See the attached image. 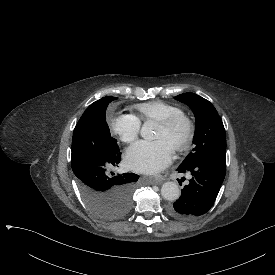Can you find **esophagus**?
<instances>
[{"instance_id":"1","label":"esophagus","mask_w":275,"mask_h":275,"mask_svg":"<svg viewBox=\"0 0 275 275\" xmlns=\"http://www.w3.org/2000/svg\"><path fill=\"white\" fill-rule=\"evenodd\" d=\"M164 181V177L162 175H157L155 178H154V182L156 184H160Z\"/></svg>"}]
</instances>
